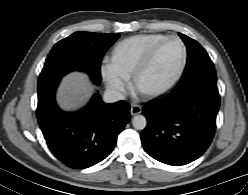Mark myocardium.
Returning <instances> with one entry per match:
<instances>
[{"label": "myocardium", "instance_id": "myocardium-1", "mask_svg": "<svg viewBox=\"0 0 248 195\" xmlns=\"http://www.w3.org/2000/svg\"><path fill=\"white\" fill-rule=\"evenodd\" d=\"M172 39H176L178 41H180V43L182 44L183 47V57H182V61L181 64L179 66L178 71L176 72L175 76L164 86L158 88V89H154V90H145L141 87V80L143 78V76L147 73V71L151 68L158 52L160 51V49L170 40ZM187 59H188V49L187 46L185 44V42L182 40V38H180L177 35H170L167 36L166 38H164L163 40H161L149 53V55L147 56V58L145 59V61L143 62V64L138 68V70L135 72V74L133 75V81H132V86L134 88V90L136 92H138L139 94H141L144 97L147 98H154V97H158L161 96L165 93H167L168 91H170L176 84L177 82L180 80L181 76L184 73V70L186 68V64H187Z\"/></svg>", "mask_w": 248, "mask_h": 195}]
</instances>
